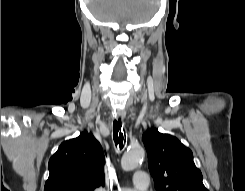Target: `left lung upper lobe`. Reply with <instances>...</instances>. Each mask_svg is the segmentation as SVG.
<instances>
[{
    "label": "left lung upper lobe",
    "mask_w": 245,
    "mask_h": 191,
    "mask_svg": "<svg viewBox=\"0 0 245 191\" xmlns=\"http://www.w3.org/2000/svg\"><path fill=\"white\" fill-rule=\"evenodd\" d=\"M142 139L157 191H208L192 151L176 137L149 129Z\"/></svg>",
    "instance_id": "5c2ea615"
}]
</instances>
